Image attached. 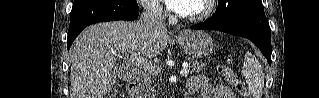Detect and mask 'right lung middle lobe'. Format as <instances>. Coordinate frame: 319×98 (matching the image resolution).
<instances>
[{"label":"right lung middle lobe","instance_id":"dd1d6c3e","mask_svg":"<svg viewBox=\"0 0 319 98\" xmlns=\"http://www.w3.org/2000/svg\"><path fill=\"white\" fill-rule=\"evenodd\" d=\"M79 1V0H74V2ZM135 0H127V2H134Z\"/></svg>","mask_w":319,"mask_h":98}]
</instances>
